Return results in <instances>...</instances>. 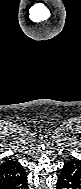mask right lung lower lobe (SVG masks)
I'll return each instance as SVG.
<instances>
[{
	"instance_id": "1",
	"label": "right lung lower lobe",
	"mask_w": 81,
	"mask_h": 189,
	"mask_svg": "<svg viewBox=\"0 0 81 189\" xmlns=\"http://www.w3.org/2000/svg\"><path fill=\"white\" fill-rule=\"evenodd\" d=\"M0 189H28L27 175L18 162L0 168Z\"/></svg>"
}]
</instances>
